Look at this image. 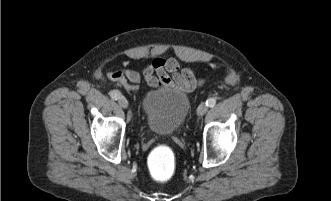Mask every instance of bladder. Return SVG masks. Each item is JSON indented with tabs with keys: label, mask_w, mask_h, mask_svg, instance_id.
<instances>
[{
	"label": "bladder",
	"mask_w": 331,
	"mask_h": 201,
	"mask_svg": "<svg viewBox=\"0 0 331 201\" xmlns=\"http://www.w3.org/2000/svg\"><path fill=\"white\" fill-rule=\"evenodd\" d=\"M143 118L154 133H175L191 109L189 93L171 87L148 90L141 102Z\"/></svg>",
	"instance_id": "1"
}]
</instances>
